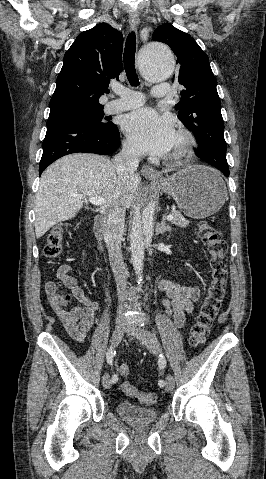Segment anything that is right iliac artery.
<instances>
[{
    "mask_svg": "<svg viewBox=\"0 0 266 479\" xmlns=\"http://www.w3.org/2000/svg\"><path fill=\"white\" fill-rule=\"evenodd\" d=\"M114 355H115V350L114 348L110 347L106 355V360L109 365H112ZM117 381H118L117 375H113L111 382L116 383Z\"/></svg>",
    "mask_w": 266,
    "mask_h": 479,
    "instance_id": "obj_1",
    "label": "right iliac artery"
}]
</instances>
